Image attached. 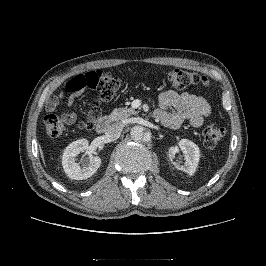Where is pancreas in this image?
Instances as JSON below:
<instances>
[{"label":"pancreas","mask_w":266,"mask_h":266,"mask_svg":"<svg viewBox=\"0 0 266 266\" xmlns=\"http://www.w3.org/2000/svg\"><path fill=\"white\" fill-rule=\"evenodd\" d=\"M138 112L133 108H116L114 109L110 115L106 117L107 121L113 122L118 120H125L132 115H136Z\"/></svg>","instance_id":"pancreas-1"}]
</instances>
